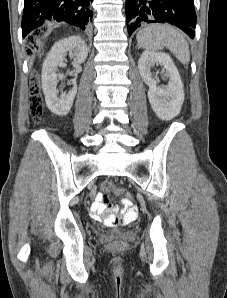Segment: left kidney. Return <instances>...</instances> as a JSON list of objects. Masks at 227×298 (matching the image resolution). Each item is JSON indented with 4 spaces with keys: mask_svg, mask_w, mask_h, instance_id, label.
<instances>
[{
    "mask_svg": "<svg viewBox=\"0 0 227 298\" xmlns=\"http://www.w3.org/2000/svg\"><path fill=\"white\" fill-rule=\"evenodd\" d=\"M161 65L166 70L169 83L164 88L157 86L151 68ZM142 80L149 86L148 99L153 111L163 120L176 117L184 102L183 83L171 57L163 52L144 51L138 61Z\"/></svg>",
    "mask_w": 227,
    "mask_h": 298,
    "instance_id": "obj_1",
    "label": "left kidney"
}]
</instances>
